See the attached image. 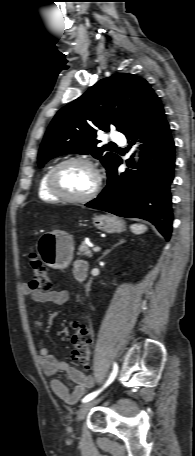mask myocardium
<instances>
[{
  "label": "myocardium",
  "instance_id": "1",
  "mask_svg": "<svg viewBox=\"0 0 195 456\" xmlns=\"http://www.w3.org/2000/svg\"><path fill=\"white\" fill-rule=\"evenodd\" d=\"M71 163L85 164L89 168H91V170L94 173V176H95L94 187L88 194H86L84 196L68 195L58 185L57 177H58L60 170L64 166L71 164ZM101 183H102L101 174H100L97 166L95 165V163L93 161H91L90 159H88L86 157H81V156L70 157V158H67V159L57 163L55 166H53L51 168V170L48 174V177H47V187H48L49 191L58 199L65 201V202H70V203H86V202L91 201L98 194V192L101 188Z\"/></svg>",
  "mask_w": 195,
  "mask_h": 456
}]
</instances>
